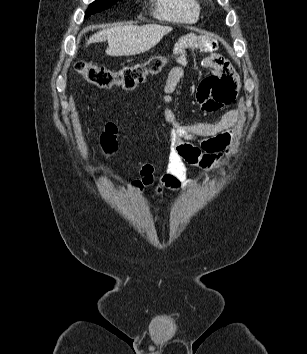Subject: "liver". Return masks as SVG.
Listing matches in <instances>:
<instances>
[{
  "mask_svg": "<svg viewBox=\"0 0 307 354\" xmlns=\"http://www.w3.org/2000/svg\"><path fill=\"white\" fill-rule=\"evenodd\" d=\"M171 31L172 27L156 24L114 26L92 35L86 45L107 40V55L132 56L150 50L160 42L164 35Z\"/></svg>",
  "mask_w": 307,
  "mask_h": 354,
  "instance_id": "6515ba94",
  "label": "liver"
}]
</instances>
